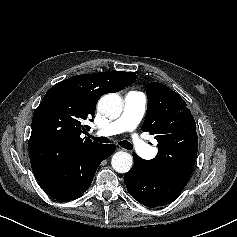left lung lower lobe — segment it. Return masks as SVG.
I'll return each mask as SVG.
<instances>
[{"label": "left lung lower lobe", "mask_w": 237, "mask_h": 237, "mask_svg": "<svg viewBox=\"0 0 237 237\" xmlns=\"http://www.w3.org/2000/svg\"><path fill=\"white\" fill-rule=\"evenodd\" d=\"M133 159L134 166L124 175L127 191L138 202L150 208L174 201L191 177L168 173L136 153Z\"/></svg>", "instance_id": "left-lung-lower-lobe-1"}]
</instances>
